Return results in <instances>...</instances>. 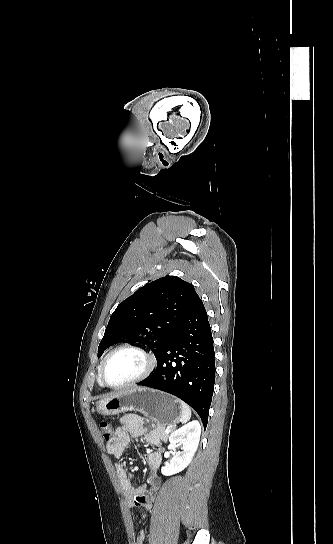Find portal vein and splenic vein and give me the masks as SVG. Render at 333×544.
<instances>
[{
	"label": "portal vein and splenic vein",
	"instance_id": "18ae733b",
	"mask_svg": "<svg viewBox=\"0 0 333 544\" xmlns=\"http://www.w3.org/2000/svg\"><path fill=\"white\" fill-rule=\"evenodd\" d=\"M165 432H166V433H169V432H170V428H167V429L165 430Z\"/></svg>",
	"mask_w": 333,
	"mask_h": 544
}]
</instances>
